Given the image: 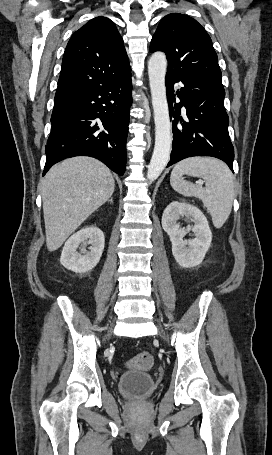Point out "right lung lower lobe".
Here are the masks:
<instances>
[{"instance_id": "1", "label": "right lung lower lobe", "mask_w": 272, "mask_h": 455, "mask_svg": "<svg viewBox=\"0 0 272 455\" xmlns=\"http://www.w3.org/2000/svg\"><path fill=\"white\" fill-rule=\"evenodd\" d=\"M131 74L54 101L43 175L55 163L86 155L123 175L132 103Z\"/></svg>"}]
</instances>
